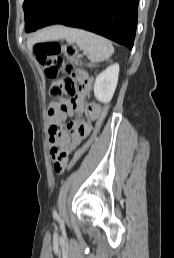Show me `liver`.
<instances>
[{
	"label": "liver",
	"instance_id": "obj_1",
	"mask_svg": "<svg viewBox=\"0 0 174 258\" xmlns=\"http://www.w3.org/2000/svg\"><path fill=\"white\" fill-rule=\"evenodd\" d=\"M62 27H53L38 33L33 39L29 41V44H33L39 41H46L50 39L60 38V32Z\"/></svg>",
	"mask_w": 174,
	"mask_h": 258
}]
</instances>
